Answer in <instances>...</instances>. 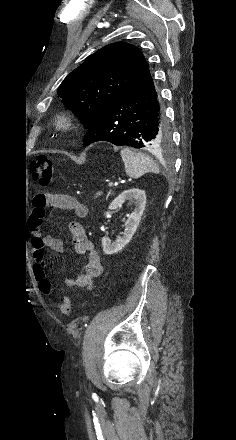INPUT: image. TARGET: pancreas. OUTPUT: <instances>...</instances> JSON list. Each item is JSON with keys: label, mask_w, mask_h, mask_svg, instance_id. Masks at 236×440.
Instances as JSON below:
<instances>
[{"label": "pancreas", "mask_w": 236, "mask_h": 440, "mask_svg": "<svg viewBox=\"0 0 236 440\" xmlns=\"http://www.w3.org/2000/svg\"><path fill=\"white\" fill-rule=\"evenodd\" d=\"M100 195H101V192L98 191V192L96 193L95 197L97 198V197L100 196Z\"/></svg>", "instance_id": "pancreas-1"}]
</instances>
